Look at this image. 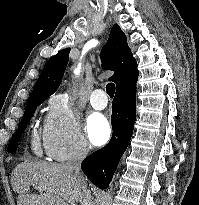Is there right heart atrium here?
I'll return each mask as SVG.
<instances>
[{"label":"right heart atrium","instance_id":"d8ad5b80","mask_svg":"<svg viewBox=\"0 0 199 205\" xmlns=\"http://www.w3.org/2000/svg\"><path fill=\"white\" fill-rule=\"evenodd\" d=\"M42 139L48 157L59 162L83 158L90 150L76 114L69 102L61 96H55L49 101Z\"/></svg>","mask_w":199,"mask_h":205}]
</instances>
